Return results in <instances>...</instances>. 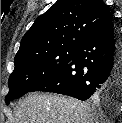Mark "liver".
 <instances>
[{
  "mask_svg": "<svg viewBox=\"0 0 122 123\" xmlns=\"http://www.w3.org/2000/svg\"><path fill=\"white\" fill-rule=\"evenodd\" d=\"M15 123H99L89 102L50 93H31L18 102Z\"/></svg>",
  "mask_w": 122,
  "mask_h": 123,
  "instance_id": "6515ba94",
  "label": "liver"
}]
</instances>
